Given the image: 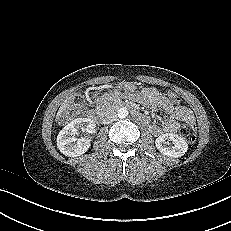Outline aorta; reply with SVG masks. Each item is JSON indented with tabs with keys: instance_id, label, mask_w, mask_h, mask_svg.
<instances>
[{
	"instance_id": "762f6f07",
	"label": "aorta",
	"mask_w": 231,
	"mask_h": 231,
	"mask_svg": "<svg viewBox=\"0 0 231 231\" xmlns=\"http://www.w3.org/2000/svg\"><path fill=\"white\" fill-rule=\"evenodd\" d=\"M118 117L121 118V119H124L128 116V110L126 108H120L118 110Z\"/></svg>"
}]
</instances>
